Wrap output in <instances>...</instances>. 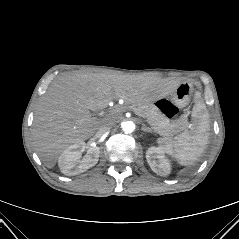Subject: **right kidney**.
Wrapping results in <instances>:
<instances>
[{"instance_id":"obj_1","label":"right kidney","mask_w":239,"mask_h":239,"mask_svg":"<svg viewBox=\"0 0 239 239\" xmlns=\"http://www.w3.org/2000/svg\"><path fill=\"white\" fill-rule=\"evenodd\" d=\"M85 148V142H78L63 151L58 160L59 168L63 174L68 176L77 175L97 164L100 153L99 148H89L86 155L81 159Z\"/></svg>"}]
</instances>
